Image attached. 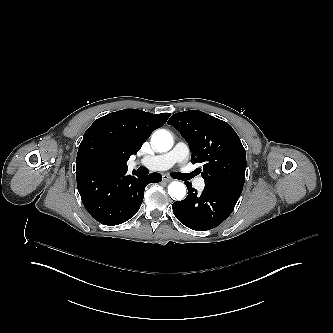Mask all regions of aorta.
Returning <instances> with one entry per match:
<instances>
[{
  "mask_svg": "<svg viewBox=\"0 0 333 333\" xmlns=\"http://www.w3.org/2000/svg\"><path fill=\"white\" fill-rule=\"evenodd\" d=\"M151 142L153 148L161 153L169 151L173 146L171 134L164 129L156 130L152 135ZM168 194L177 200H181L185 197L186 187L182 182L173 181L168 185Z\"/></svg>",
  "mask_w": 333,
  "mask_h": 333,
  "instance_id": "1",
  "label": "aorta"
}]
</instances>
